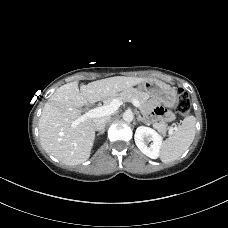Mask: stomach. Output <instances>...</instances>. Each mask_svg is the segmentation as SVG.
Instances as JSON below:
<instances>
[{"label":"stomach","instance_id":"0dacf381","mask_svg":"<svg viewBox=\"0 0 228 228\" xmlns=\"http://www.w3.org/2000/svg\"><path fill=\"white\" fill-rule=\"evenodd\" d=\"M138 90L145 92L149 97L157 99L167 107H174L178 101L176 91L157 79H147L140 83Z\"/></svg>","mask_w":228,"mask_h":228}]
</instances>
